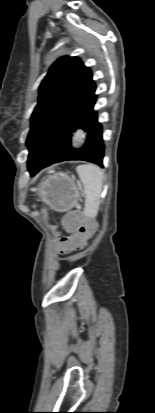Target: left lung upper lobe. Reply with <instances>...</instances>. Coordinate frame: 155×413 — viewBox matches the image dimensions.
Returning a JSON list of instances; mask_svg holds the SVG:
<instances>
[{
    "instance_id": "left-lung-upper-lobe-1",
    "label": "left lung upper lobe",
    "mask_w": 155,
    "mask_h": 413,
    "mask_svg": "<svg viewBox=\"0 0 155 413\" xmlns=\"http://www.w3.org/2000/svg\"><path fill=\"white\" fill-rule=\"evenodd\" d=\"M92 73L77 57H61L39 87V100L31 117L26 144L28 169L49 160L58 150L62 132L73 130L95 93Z\"/></svg>"
}]
</instances>
